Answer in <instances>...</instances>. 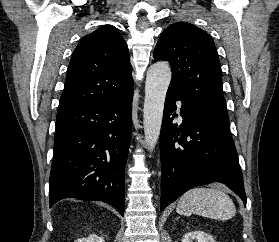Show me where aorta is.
<instances>
[{
    "label": "aorta",
    "instance_id": "obj_1",
    "mask_svg": "<svg viewBox=\"0 0 279 242\" xmlns=\"http://www.w3.org/2000/svg\"><path fill=\"white\" fill-rule=\"evenodd\" d=\"M172 78L166 62H156L147 71L143 125L148 150L153 151L160 135L166 92Z\"/></svg>",
    "mask_w": 279,
    "mask_h": 242
}]
</instances>
